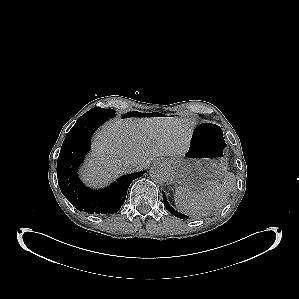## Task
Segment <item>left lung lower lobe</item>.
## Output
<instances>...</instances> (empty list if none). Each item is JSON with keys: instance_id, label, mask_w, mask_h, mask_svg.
Returning <instances> with one entry per match:
<instances>
[{"instance_id": "1", "label": "left lung lower lobe", "mask_w": 299, "mask_h": 299, "mask_svg": "<svg viewBox=\"0 0 299 299\" xmlns=\"http://www.w3.org/2000/svg\"><path fill=\"white\" fill-rule=\"evenodd\" d=\"M163 200H164V205H165L166 209L170 213H172L174 216H176L177 218H180V219H187V218H189L188 216H186V215H184V214L176 211L173 207H171L169 205V203L167 202V199H166V196H165L164 192H163Z\"/></svg>"}]
</instances>
